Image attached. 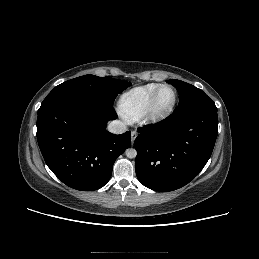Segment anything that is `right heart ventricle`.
<instances>
[{
  "instance_id": "right-heart-ventricle-1",
  "label": "right heart ventricle",
  "mask_w": 259,
  "mask_h": 259,
  "mask_svg": "<svg viewBox=\"0 0 259 259\" xmlns=\"http://www.w3.org/2000/svg\"><path fill=\"white\" fill-rule=\"evenodd\" d=\"M160 84L149 83L130 89L122 94L118 107L120 113L128 120H137L144 115L154 92Z\"/></svg>"
}]
</instances>
